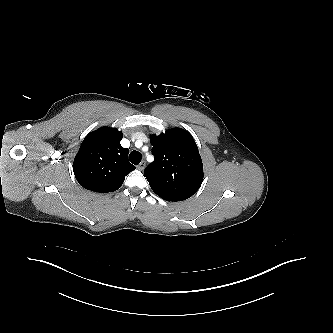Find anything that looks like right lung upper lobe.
<instances>
[{"instance_id":"1","label":"right lung upper lobe","mask_w":333,"mask_h":333,"mask_svg":"<svg viewBox=\"0 0 333 333\" xmlns=\"http://www.w3.org/2000/svg\"><path fill=\"white\" fill-rule=\"evenodd\" d=\"M123 138L117 128L102 127L89 133L80 145L73 171L85 189L107 193L120 188L135 167L128 161L129 150L120 145Z\"/></svg>"}]
</instances>
